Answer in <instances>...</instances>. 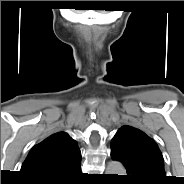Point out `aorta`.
I'll use <instances>...</instances> for the list:
<instances>
[{
    "instance_id": "aorta-1",
    "label": "aorta",
    "mask_w": 184,
    "mask_h": 184,
    "mask_svg": "<svg viewBox=\"0 0 184 184\" xmlns=\"http://www.w3.org/2000/svg\"><path fill=\"white\" fill-rule=\"evenodd\" d=\"M107 174L124 175L125 169L120 162L112 161L107 166Z\"/></svg>"
}]
</instances>
